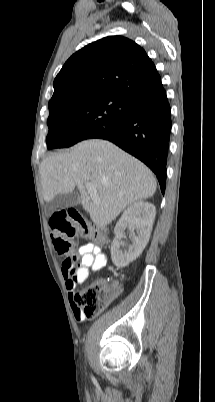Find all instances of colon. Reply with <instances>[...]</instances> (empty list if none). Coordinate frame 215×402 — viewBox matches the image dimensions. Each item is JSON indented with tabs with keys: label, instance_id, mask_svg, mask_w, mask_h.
I'll return each instance as SVG.
<instances>
[{
	"label": "colon",
	"instance_id": "5ec220e1",
	"mask_svg": "<svg viewBox=\"0 0 215 402\" xmlns=\"http://www.w3.org/2000/svg\"><path fill=\"white\" fill-rule=\"evenodd\" d=\"M50 228L54 249L59 255L66 256L63 265L70 268L72 272H75L79 263L73 258L75 251L74 243L70 241L71 238L79 235L100 244L105 243L104 235L93 229L73 209L54 213L50 219ZM115 294L116 292L111 286H90L75 295V303L86 317H93L108 305Z\"/></svg>",
	"mask_w": 215,
	"mask_h": 402
}]
</instances>
